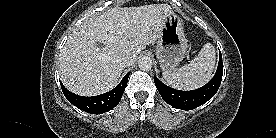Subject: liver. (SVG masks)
I'll use <instances>...</instances> for the list:
<instances>
[{
	"label": "liver",
	"instance_id": "6515ba94",
	"mask_svg": "<svg viewBox=\"0 0 276 138\" xmlns=\"http://www.w3.org/2000/svg\"><path fill=\"white\" fill-rule=\"evenodd\" d=\"M170 11L167 4L114 7L84 21L61 51L59 75L64 86L82 96L114 88L126 67L121 58L129 54L136 60L146 45L156 41Z\"/></svg>",
	"mask_w": 276,
	"mask_h": 138
}]
</instances>
